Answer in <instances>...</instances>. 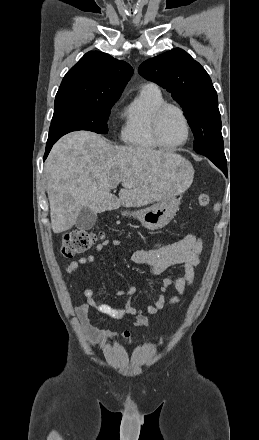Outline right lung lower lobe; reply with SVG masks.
<instances>
[{"instance_id":"right-lung-lower-lobe-1","label":"right lung lower lobe","mask_w":259,"mask_h":440,"mask_svg":"<svg viewBox=\"0 0 259 440\" xmlns=\"http://www.w3.org/2000/svg\"><path fill=\"white\" fill-rule=\"evenodd\" d=\"M58 139H53V140H48L47 144H46V151H45V155H44V160L46 159L48 153L50 152L52 146L54 145V143L57 141Z\"/></svg>"}]
</instances>
